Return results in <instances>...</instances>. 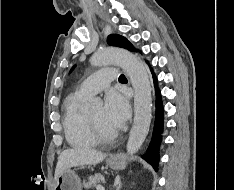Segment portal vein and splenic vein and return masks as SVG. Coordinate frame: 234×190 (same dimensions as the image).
Masks as SVG:
<instances>
[{
  "mask_svg": "<svg viewBox=\"0 0 234 190\" xmlns=\"http://www.w3.org/2000/svg\"><path fill=\"white\" fill-rule=\"evenodd\" d=\"M96 190H105V189H104V187H103V186L98 185V186L96 187Z\"/></svg>",
  "mask_w": 234,
  "mask_h": 190,
  "instance_id": "1",
  "label": "portal vein and splenic vein"
}]
</instances>
